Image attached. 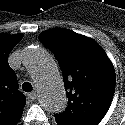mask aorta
I'll list each match as a JSON object with an SVG mask.
<instances>
[{"instance_id": "762f6f07", "label": "aorta", "mask_w": 125, "mask_h": 125, "mask_svg": "<svg viewBox=\"0 0 125 125\" xmlns=\"http://www.w3.org/2000/svg\"><path fill=\"white\" fill-rule=\"evenodd\" d=\"M22 63L34 79L41 107L51 113L63 112L67 97L55 61L42 48L36 47L24 51Z\"/></svg>"}]
</instances>
